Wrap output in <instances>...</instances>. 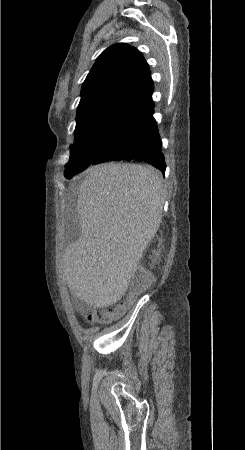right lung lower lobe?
I'll return each instance as SVG.
<instances>
[{"label":"right lung lower lobe","mask_w":245,"mask_h":450,"mask_svg":"<svg viewBox=\"0 0 245 450\" xmlns=\"http://www.w3.org/2000/svg\"><path fill=\"white\" fill-rule=\"evenodd\" d=\"M153 109L154 106L140 114L128 139L114 150L100 154L91 164L135 159L152 164L164 174L166 164L161 152V141L153 118Z\"/></svg>","instance_id":"obj_1"}]
</instances>
